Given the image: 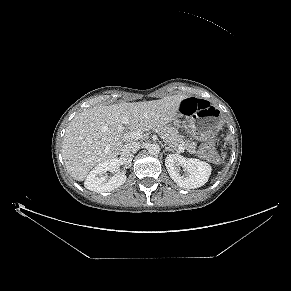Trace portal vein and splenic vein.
Listing matches in <instances>:
<instances>
[{"label":"portal vein and splenic vein","mask_w":291,"mask_h":291,"mask_svg":"<svg viewBox=\"0 0 291 291\" xmlns=\"http://www.w3.org/2000/svg\"><path fill=\"white\" fill-rule=\"evenodd\" d=\"M124 123L127 124L128 122H127V121H124ZM118 129H119L120 131L124 130L123 125H120V126L118 127ZM142 134H143V133L140 132V131L130 132L129 135H128V137L131 138V139H136V140H138V139L142 138ZM178 149H179V151L184 152V147H183V146H179Z\"/></svg>","instance_id":"1"}]
</instances>
